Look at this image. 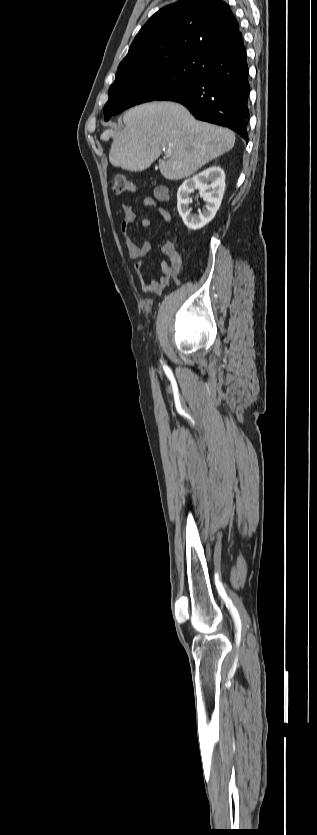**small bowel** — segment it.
<instances>
[{"instance_id": "1", "label": "small bowel", "mask_w": 317, "mask_h": 835, "mask_svg": "<svg viewBox=\"0 0 317 835\" xmlns=\"http://www.w3.org/2000/svg\"><path fill=\"white\" fill-rule=\"evenodd\" d=\"M170 198L169 191L165 186H157L154 189L153 196L143 195L142 204L157 210L160 217L168 222L171 220V214L161 205L162 202L168 201ZM124 217L122 220V232L126 236V246L128 257L132 260L133 266L140 271L144 267L143 258L152 251L150 242L144 241L137 244L129 236L130 227L135 222L136 214L130 205H124ZM143 228H149L151 221L148 218H143L140 222ZM166 259L160 263V272L158 275L150 274L144 279V288L147 293L159 295L168 286L171 276L179 269L181 265V258L174 249L164 248L161 250Z\"/></svg>"}]
</instances>
